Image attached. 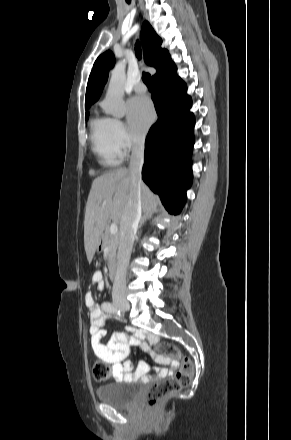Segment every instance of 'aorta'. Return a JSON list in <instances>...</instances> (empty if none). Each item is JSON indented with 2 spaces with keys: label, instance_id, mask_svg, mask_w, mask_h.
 I'll return each mask as SVG.
<instances>
[{
  "label": "aorta",
  "instance_id": "1",
  "mask_svg": "<svg viewBox=\"0 0 291 440\" xmlns=\"http://www.w3.org/2000/svg\"><path fill=\"white\" fill-rule=\"evenodd\" d=\"M126 79V61H119L111 73L103 109L107 114L121 118L126 113L124 104V83Z\"/></svg>",
  "mask_w": 291,
  "mask_h": 440
}]
</instances>
